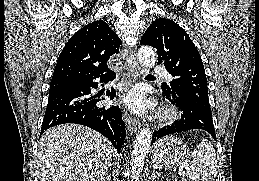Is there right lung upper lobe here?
<instances>
[{"instance_id":"cb5924a9","label":"right lung upper lobe","mask_w":259,"mask_h":181,"mask_svg":"<svg viewBox=\"0 0 259 181\" xmlns=\"http://www.w3.org/2000/svg\"><path fill=\"white\" fill-rule=\"evenodd\" d=\"M120 44V38L103 20L87 24L63 48L50 85L108 71L107 61L119 52Z\"/></svg>"}]
</instances>
